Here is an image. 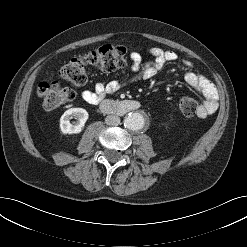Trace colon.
I'll return each mask as SVG.
<instances>
[{
  "instance_id": "colon-1",
  "label": "colon",
  "mask_w": 247,
  "mask_h": 247,
  "mask_svg": "<svg viewBox=\"0 0 247 247\" xmlns=\"http://www.w3.org/2000/svg\"><path fill=\"white\" fill-rule=\"evenodd\" d=\"M128 58L129 53L126 48L104 45L71 59L60 68L58 75L60 79L74 87H80L87 82L88 68L112 72L123 67ZM37 93L42 106L49 110L66 104L76 97L73 88L63 87L58 82H41L37 87ZM178 108L183 115L194 116L198 110V103L191 97H184L180 100Z\"/></svg>"
}]
</instances>
